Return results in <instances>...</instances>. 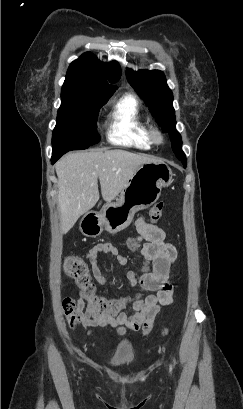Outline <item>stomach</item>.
Here are the masks:
<instances>
[{"label":"stomach","instance_id":"1","mask_svg":"<svg viewBox=\"0 0 243 409\" xmlns=\"http://www.w3.org/2000/svg\"><path fill=\"white\" fill-rule=\"evenodd\" d=\"M173 182V172L164 162L141 165L122 189L116 203H108L100 212H88L80 223L86 236H98L103 230L117 233L128 227L139 210L146 209L160 197L162 188Z\"/></svg>","mask_w":243,"mask_h":409}]
</instances>
